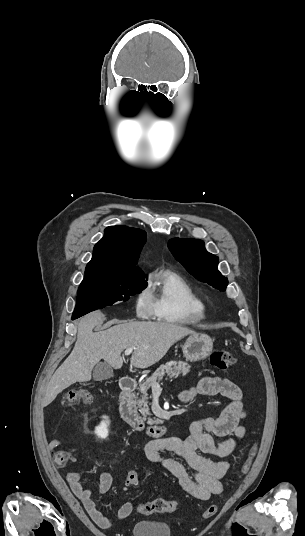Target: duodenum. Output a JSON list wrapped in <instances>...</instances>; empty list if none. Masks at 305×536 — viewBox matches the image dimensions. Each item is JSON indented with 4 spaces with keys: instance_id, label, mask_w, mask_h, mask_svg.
<instances>
[{
    "instance_id": "410a0bca",
    "label": "duodenum",
    "mask_w": 305,
    "mask_h": 536,
    "mask_svg": "<svg viewBox=\"0 0 305 536\" xmlns=\"http://www.w3.org/2000/svg\"><path fill=\"white\" fill-rule=\"evenodd\" d=\"M136 381L131 377H122L120 380V415L125 423L138 432H142L154 437L162 436L167 430L166 425H150L141 418L137 407L134 392Z\"/></svg>"
}]
</instances>
